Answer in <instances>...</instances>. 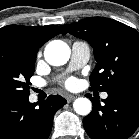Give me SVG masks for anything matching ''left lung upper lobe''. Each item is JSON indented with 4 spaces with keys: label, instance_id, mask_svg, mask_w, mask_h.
<instances>
[{
    "label": "left lung upper lobe",
    "instance_id": "5c2ea615",
    "mask_svg": "<svg viewBox=\"0 0 139 139\" xmlns=\"http://www.w3.org/2000/svg\"><path fill=\"white\" fill-rule=\"evenodd\" d=\"M62 27L93 47L97 64L90 76L91 90L110 92L139 79V33L135 29L104 17H89Z\"/></svg>",
    "mask_w": 139,
    "mask_h": 139
}]
</instances>
